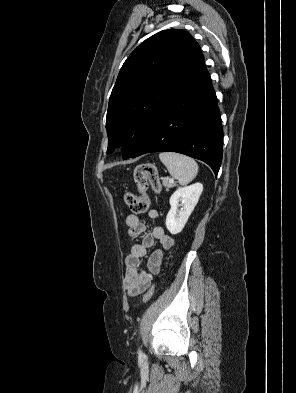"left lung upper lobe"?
Wrapping results in <instances>:
<instances>
[{
	"mask_svg": "<svg viewBox=\"0 0 296 393\" xmlns=\"http://www.w3.org/2000/svg\"><path fill=\"white\" fill-rule=\"evenodd\" d=\"M203 66L199 45L183 30L160 31L141 43L124 62L109 99L107 153L122 145L128 159Z\"/></svg>",
	"mask_w": 296,
	"mask_h": 393,
	"instance_id": "left-lung-upper-lobe-1",
	"label": "left lung upper lobe"
}]
</instances>
